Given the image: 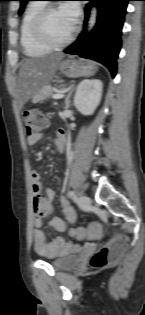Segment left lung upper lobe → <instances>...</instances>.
<instances>
[{
    "label": "left lung upper lobe",
    "instance_id": "obj_1",
    "mask_svg": "<svg viewBox=\"0 0 145 315\" xmlns=\"http://www.w3.org/2000/svg\"><path fill=\"white\" fill-rule=\"evenodd\" d=\"M18 1L21 2L20 9H19V15H21L24 11L26 3L31 0H18Z\"/></svg>",
    "mask_w": 145,
    "mask_h": 315
}]
</instances>
